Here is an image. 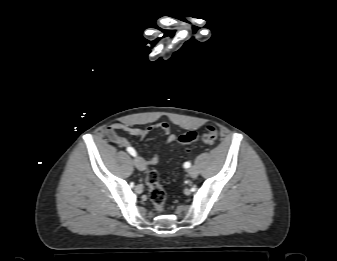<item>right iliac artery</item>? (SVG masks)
Here are the masks:
<instances>
[{"instance_id":"82829eb1","label":"right iliac artery","mask_w":337,"mask_h":261,"mask_svg":"<svg viewBox=\"0 0 337 261\" xmlns=\"http://www.w3.org/2000/svg\"><path fill=\"white\" fill-rule=\"evenodd\" d=\"M127 151H128V153L131 154L132 156H136V151H135L132 147L127 148Z\"/></svg>"}]
</instances>
